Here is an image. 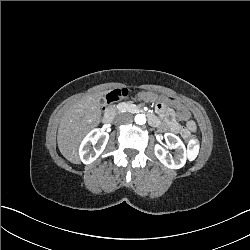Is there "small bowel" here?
<instances>
[{
  "label": "small bowel",
  "mask_w": 250,
  "mask_h": 250,
  "mask_svg": "<svg viewBox=\"0 0 250 250\" xmlns=\"http://www.w3.org/2000/svg\"><path fill=\"white\" fill-rule=\"evenodd\" d=\"M161 110L167 111V114H169L171 112V109L167 108V107H161ZM175 114L178 117V119L188 122L189 129H190V127H193L194 129L192 131L195 130V124L192 121H190V113L187 109L179 107V108H177ZM149 120L153 123L168 125L176 131L180 129V127L177 123L170 121V120L163 118V117L159 118L157 115H150Z\"/></svg>",
  "instance_id": "small-bowel-1"
}]
</instances>
